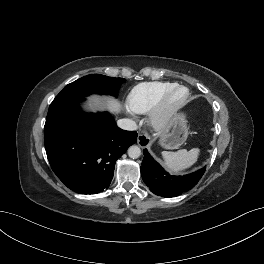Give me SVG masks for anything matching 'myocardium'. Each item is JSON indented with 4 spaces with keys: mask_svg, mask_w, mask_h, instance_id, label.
<instances>
[{
    "mask_svg": "<svg viewBox=\"0 0 264 264\" xmlns=\"http://www.w3.org/2000/svg\"><path fill=\"white\" fill-rule=\"evenodd\" d=\"M181 89L186 92L184 98L177 103H172L174 94ZM189 95V89L183 85H174L168 89L150 111V122L152 126L157 130L167 128L177 113L186 105Z\"/></svg>",
    "mask_w": 264,
    "mask_h": 264,
    "instance_id": "myocardium-1",
    "label": "myocardium"
}]
</instances>
